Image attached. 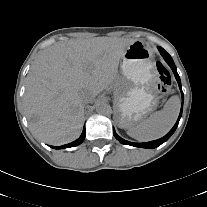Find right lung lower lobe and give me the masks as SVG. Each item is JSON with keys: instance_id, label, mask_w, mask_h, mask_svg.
<instances>
[{"instance_id": "right-lung-lower-lobe-1", "label": "right lung lower lobe", "mask_w": 207, "mask_h": 207, "mask_svg": "<svg viewBox=\"0 0 207 207\" xmlns=\"http://www.w3.org/2000/svg\"><path fill=\"white\" fill-rule=\"evenodd\" d=\"M85 135H86V132H85V128H84L81 136L76 141L69 143V144H66V145H63V146H59V147H56V146H51V147L54 149H63V148H70V147L77 146L83 142V140L85 139Z\"/></svg>"}]
</instances>
